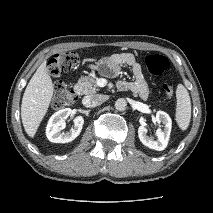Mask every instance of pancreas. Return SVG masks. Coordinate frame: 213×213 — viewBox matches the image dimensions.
<instances>
[{
    "label": "pancreas",
    "instance_id": "pancreas-1",
    "mask_svg": "<svg viewBox=\"0 0 213 213\" xmlns=\"http://www.w3.org/2000/svg\"><path fill=\"white\" fill-rule=\"evenodd\" d=\"M81 91L82 94H94L99 91V87L96 83V80L92 77L82 76L76 85Z\"/></svg>",
    "mask_w": 213,
    "mask_h": 213
}]
</instances>
